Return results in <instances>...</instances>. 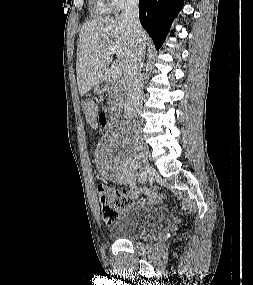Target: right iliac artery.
<instances>
[{
	"label": "right iliac artery",
	"instance_id": "82829eb1",
	"mask_svg": "<svg viewBox=\"0 0 253 285\" xmlns=\"http://www.w3.org/2000/svg\"><path fill=\"white\" fill-rule=\"evenodd\" d=\"M129 186L133 189L136 187V183L134 181H129Z\"/></svg>",
	"mask_w": 253,
	"mask_h": 285
}]
</instances>
